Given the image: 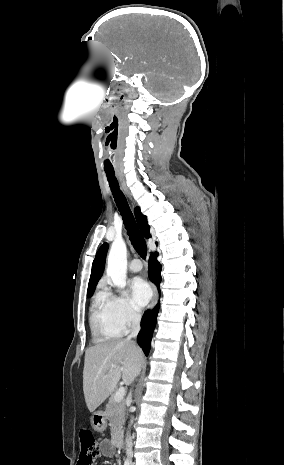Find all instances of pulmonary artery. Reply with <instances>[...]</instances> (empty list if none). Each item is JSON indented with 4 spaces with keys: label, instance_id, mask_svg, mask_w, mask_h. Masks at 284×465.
Instances as JSON below:
<instances>
[{
    "label": "pulmonary artery",
    "instance_id": "e3ab8cb5",
    "mask_svg": "<svg viewBox=\"0 0 284 465\" xmlns=\"http://www.w3.org/2000/svg\"><path fill=\"white\" fill-rule=\"evenodd\" d=\"M142 269V263L138 259H134L129 264V270L133 273L139 272Z\"/></svg>",
    "mask_w": 284,
    "mask_h": 465
}]
</instances>
